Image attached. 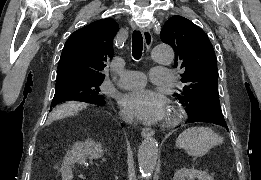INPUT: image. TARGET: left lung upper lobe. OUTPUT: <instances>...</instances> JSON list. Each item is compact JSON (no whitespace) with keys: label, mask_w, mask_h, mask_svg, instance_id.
Here are the masks:
<instances>
[{"label":"left lung upper lobe","mask_w":261,"mask_h":180,"mask_svg":"<svg viewBox=\"0 0 261 180\" xmlns=\"http://www.w3.org/2000/svg\"><path fill=\"white\" fill-rule=\"evenodd\" d=\"M161 40L176 53L174 67L182 71L185 84L176 94L187 114H221L218 96L217 59L206 33L190 20L175 15L161 30Z\"/></svg>","instance_id":"5c2ea615"}]
</instances>
